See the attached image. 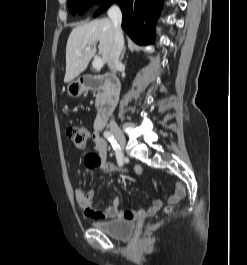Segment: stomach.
I'll list each match as a JSON object with an SVG mask.
<instances>
[{"label":"stomach","instance_id":"obj_1","mask_svg":"<svg viewBox=\"0 0 247 265\" xmlns=\"http://www.w3.org/2000/svg\"><path fill=\"white\" fill-rule=\"evenodd\" d=\"M85 90L86 86L80 79L71 81L67 86L68 94L74 98L79 97Z\"/></svg>","mask_w":247,"mask_h":265}]
</instances>
